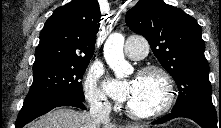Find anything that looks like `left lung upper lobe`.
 <instances>
[{
	"instance_id": "1",
	"label": "left lung upper lobe",
	"mask_w": 221,
	"mask_h": 128,
	"mask_svg": "<svg viewBox=\"0 0 221 128\" xmlns=\"http://www.w3.org/2000/svg\"><path fill=\"white\" fill-rule=\"evenodd\" d=\"M127 26L149 42L154 55L177 83L172 111L192 103L212 104L209 64L197 21L163 0H139L125 17Z\"/></svg>"
}]
</instances>
